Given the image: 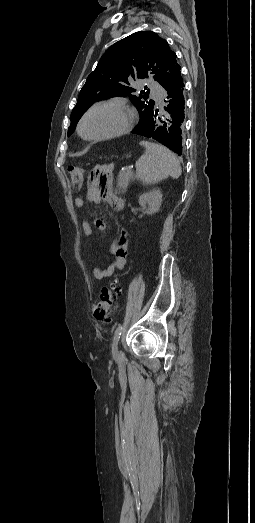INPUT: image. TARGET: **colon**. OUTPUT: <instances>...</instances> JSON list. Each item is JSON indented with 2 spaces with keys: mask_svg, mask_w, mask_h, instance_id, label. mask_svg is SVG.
<instances>
[{
  "mask_svg": "<svg viewBox=\"0 0 255 523\" xmlns=\"http://www.w3.org/2000/svg\"><path fill=\"white\" fill-rule=\"evenodd\" d=\"M71 183L75 189H80L84 184L85 172L82 168L71 166L68 169ZM120 295V289L116 282L104 286L99 297L93 305L94 318L103 323H108L116 309V301Z\"/></svg>",
  "mask_w": 255,
  "mask_h": 523,
  "instance_id": "colon-1",
  "label": "colon"
}]
</instances>
